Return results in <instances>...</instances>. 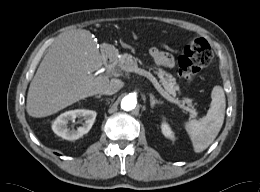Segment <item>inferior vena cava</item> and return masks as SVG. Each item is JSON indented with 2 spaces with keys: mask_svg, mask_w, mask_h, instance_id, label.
<instances>
[{
  "mask_svg": "<svg viewBox=\"0 0 260 192\" xmlns=\"http://www.w3.org/2000/svg\"><path fill=\"white\" fill-rule=\"evenodd\" d=\"M123 85L124 83L121 80L111 79L108 86L101 93L106 95H112L118 92L123 87Z\"/></svg>",
  "mask_w": 260,
  "mask_h": 192,
  "instance_id": "inferior-vena-cava-1",
  "label": "inferior vena cava"
}]
</instances>
